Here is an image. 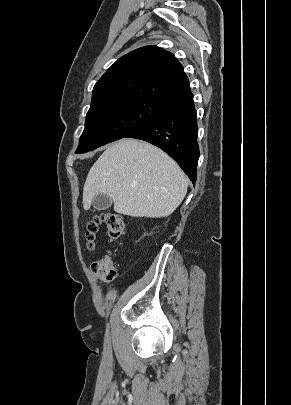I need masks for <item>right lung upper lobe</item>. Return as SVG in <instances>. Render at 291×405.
<instances>
[{"label": "right lung upper lobe", "instance_id": "1", "mask_svg": "<svg viewBox=\"0 0 291 405\" xmlns=\"http://www.w3.org/2000/svg\"><path fill=\"white\" fill-rule=\"evenodd\" d=\"M190 90L182 65L157 46L136 49L118 59L93 89L91 107L129 98L168 103Z\"/></svg>", "mask_w": 291, "mask_h": 405}]
</instances>
